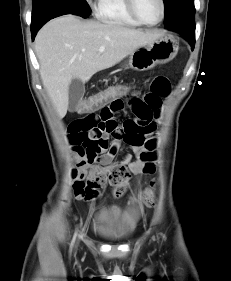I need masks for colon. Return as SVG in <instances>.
Returning a JSON list of instances; mask_svg holds the SVG:
<instances>
[{
	"label": "colon",
	"mask_w": 231,
	"mask_h": 281,
	"mask_svg": "<svg viewBox=\"0 0 231 281\" xmlns=\"http://www.w3.org/2000/svg\"><path fill=\"white\" fill-rule=\"evenodd\" d=\"M136 89L137 86L134 83H117L81 102L79 111L85 113L94 112L115 100L129 96ZM129 182L130 174L126 167L115 166L109 170L97 171L86 183L83 181L75 182L73 185L74 195L90 200L97 196L100 188L109 183L114 195L119 197L126 192ZM143 197L146 205H154L155 193L153 185L145 191Z\"/></svg>",
	"instance_id": "colon-1"
}]
</instances>
